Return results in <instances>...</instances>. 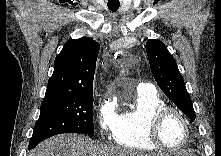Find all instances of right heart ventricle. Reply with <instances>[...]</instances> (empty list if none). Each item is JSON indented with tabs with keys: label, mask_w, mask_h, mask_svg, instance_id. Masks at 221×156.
<instances>
[{
	"label": "right heart ventricle",
	"mask_w": 221,
	"mask_h": 156,
	"mask_svg": "<svg viewBox=\"0 0 221 156\" xmlns=\"http://www.w3.org/2000/svg\"><path fill=\"white\" fill-rule=\"evenodd\" d=\"M164 106L166 103L156 91H137L132 108L117 116L115 143L131 150H157L149 140L148 127L153 114Z\"/></svg>",
	"instance_id": "1"
}]
</instances>
